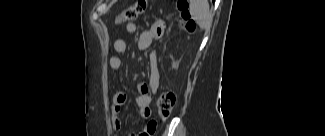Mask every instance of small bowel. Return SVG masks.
<instances>
[{
	"instance_id": "1",
	"label": "small bowel",
	"mask_w": 325,
	"mask_h": 136,
	"mask_svg": "<svg viewBox=\"0 0 325 136\" xmlns=\"http://www.w3.org/2000/svg\"><path fill=\"white\" fill-rule=\"evenodd\" d=\"M125 32L129 35L137 32V25L135 23H127L124 26ZM165 33V25L163 22H158L150 29L143 31L138 37V47L140 50L148 49L151 44L160 39ZM127 50L126 42L122 39H116L113 43L114 55L109 59V66L112 70L117 71L122 66L121 54ZM149 79L147 83L139 84L136 87V104L140 109L141 116L144 119L151 117V103L153 95L159 86L160 74L158 69L157 55L155 52H151L149 55ZM126 101V93L119 91L114 95L113 105L111 107L112 112V124L115 130L122 128V121L119 118V113L122 105ZM157 129V123L153 120H149L144 129L138 134L130 132V136H151Z\"/></svg>"
}]
</instances>
